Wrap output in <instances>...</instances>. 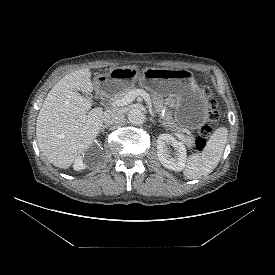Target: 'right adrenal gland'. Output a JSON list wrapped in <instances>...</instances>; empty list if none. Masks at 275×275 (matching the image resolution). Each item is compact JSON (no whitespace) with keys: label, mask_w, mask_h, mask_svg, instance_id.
I'll return each instance as SVG.
<instances>
[{"label":"right adrenal gland","mask_w":275,"mask_h":275,"mask_svg":"<svg viewBox=\"0 0 275 275\" xmlns=\"http://www.w3.org/2000/svg\"><path fill=\"white\" fill-rule=\"evenodd\" d=\"M106 128V126L105 125H103L102 127H101V132H104V129Z\"/></svg>","instance_id":"1"}]
</instances>
